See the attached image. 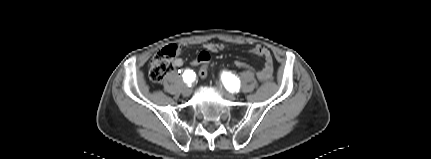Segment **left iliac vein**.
Listing matches in <instances>:
<instances>
[{
  "mask_svg": "<svg viewBox=\"0 0 431 159\" xmlns=\"http://www.w3.org/2000/svg\"><path fill=\"white\" fill-rule=\"evenodd\" d=\"M217 85L220 86V83L217 82ZM224 96L229 100H235L236 96L231 92H224Z\"/></svg>",
  "mask_w": 431,
  "mask_h": 159,
  "instance_id": "4c4485c4",
  "label": "left iliac vein"
}]
</instances>
